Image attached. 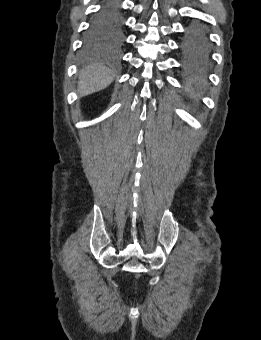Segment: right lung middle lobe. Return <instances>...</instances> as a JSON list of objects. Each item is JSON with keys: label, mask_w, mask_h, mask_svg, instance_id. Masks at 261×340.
I'll return each mask as SVG.
<instances>
[{"label": "right lung middle lobe", "mask_w": 261, "mask_h": 340, "mask_svg": "<svg viewBox=\"0 0 261 340\" xmlns=\"http://www.w3.org/2000/svg\"><path fill=\"white\" fill-rule=\"evenodd\" d=\"M122 26L121 13L107 14L99 11L93 17L86 33V45L94 46L106 41L120 39L122 37Z\"/></svg>", "instance_id": "1"}]
</instances>
